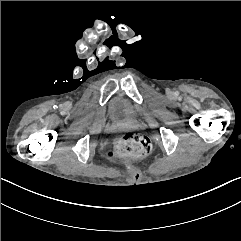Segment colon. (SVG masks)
Segmentation results:
<instances>
[{
    "label": "colon",
    "mask_w": 241,
    "mask_h": 241,
    "mask_svg": "<svg viewBox=\"0 0 241 241\" xmlns=\"http://www.w3.org/2000/svg\"><path fill=\"white\" fill-rule=\"evenodd\" d=\"M152 151L150 139L145 135L126 133L105 153L108 160L140 159Z\"/></svg>",
    "instance_id": "colon-1"
}]
</instances>
